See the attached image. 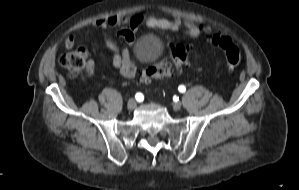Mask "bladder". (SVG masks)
<instances>
[{"instance_id":"bladder-1","label":"bladder","mask_w":299,"mask_h":190,"mask_svg":"<svg viewBox=\"0 0 299 190\" xmlns=\"http://www.w3.org/2000/svg\"><path fill=\"white\" fill-rule=\"evenodd\" d=\"M160 53V43L154 36H146L141 39L135 49V59L140 63L155 61Z\"/></svg>"}]
</instances>
